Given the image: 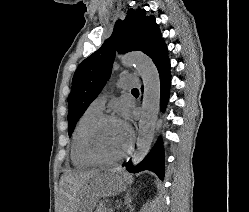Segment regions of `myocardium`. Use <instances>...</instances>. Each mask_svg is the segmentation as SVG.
Returning a JSON list of instances; mask_svg holds the SVG:
<instances>
[{
  "instance_id": "1",
  "label": "myocardium",
  "mask_w": 249,
  "mask_h": 212,
  "mask_svg": "<svg viewBox=\"0 0 249 212\" xmlns=\"http://www.w3.org/2000/svg\"><path fill=\"white\" fill-rule=\"evenodd\" d=\"M108 121H117L120 122L119 118H117L116 116L113 115H100L99 117H97L95 120H93L89 126L86 128L83 137H82V141H81V152L83 157L92 165H97V166H111L114 164L119 163L120 161H122L124 158H126L129 153L131 152L132 148H133V133L130 132V142L129 145L127 147V149L125 150L124 153H122L121 155L113 158V159H101L98 156H96L92 150V139L93 136L96 132V130L105 122Z\"/></svg>"
}]
</instances>
